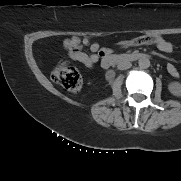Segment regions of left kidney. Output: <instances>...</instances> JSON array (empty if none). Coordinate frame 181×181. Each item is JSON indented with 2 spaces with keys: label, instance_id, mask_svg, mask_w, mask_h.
Masks as SVG:
<instances>
[{
  "label": "left kidney",
  "instance_id": "5707ae66",
  "mask_svg": "<svg viewBox=\"0 0 181 181\" xmlns=\"http://www.w3.org/2000/svg\"><path fill=\"white\" fill-rule=\"evenodd\" d=\"M168 89L174 96H181V83L173 82L168 86Z\"/></svg>",
  "mask_w": 181,
  "mask_h": 181
}]
</instances>
